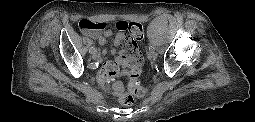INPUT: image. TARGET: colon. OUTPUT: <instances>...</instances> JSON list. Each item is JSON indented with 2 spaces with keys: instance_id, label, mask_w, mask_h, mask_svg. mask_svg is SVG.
I'll use <instances>...</instances> for the list:
<instances>
[{
  "instance_id": "colon-1",
  "label": "colon",
  "mask_w": 255,
  "mask_h": 122,
  "mask_svg": "<svg viewBox=\"0 0 255 122\" xmlns=\"http://www.w3.org/2000/svg\"><path fill=\"white\" fill-rule=\"evenodd\" d=\"M78 28L85 34L96 33V32H113L118 30L120 32H127L136 40H141L143 37V27L137 22H125L119 21L115 24L103 22V21H92L88 19H82L78 22ZM122 76L127 78L128 91L124 92L123 87L120 83H116L113 86V92L118 96L119 102L126 107L133 105L135 98L143 97L147 93V87L141 84L140 81V69L139 67H132L129 70L120 69L116 63H107L101 70L99 75V81L109 83Z\"/></svg>"
}]
</instances>
